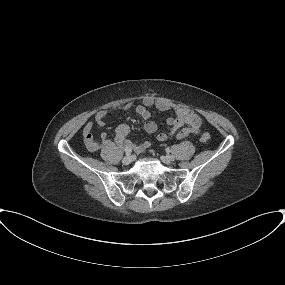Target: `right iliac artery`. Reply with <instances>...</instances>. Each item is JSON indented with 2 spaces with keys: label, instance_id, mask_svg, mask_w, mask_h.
<instances>
[{
  "label": "right iliac artery",
  "instance_id": "right-iliac-artery-1",
  "mask_svg": "<svg viewBox=\"0 0 285 285\" xmlns=\"http://www.w3.org/2000/svg\"><path fill=\"white\" fill-rule=\"evenodd\" d=\"M131 152H132V150H131V149H125V153H126V155H130V154H131Z\"/></svg>",
  "mask_w": 285,
  "mask_h": 285
}]
</instances>
